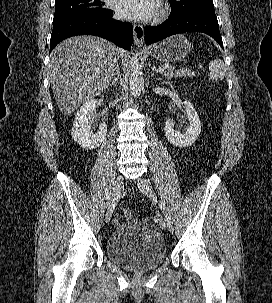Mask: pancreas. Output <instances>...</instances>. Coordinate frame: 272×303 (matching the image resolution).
<instances>
[{"label":"pancreas","instance_id":"obj_1","mask_svg":"<svg viewBox=\"0 0 272 303\" xmlns=\"http://www.w3.org/2000/svg\"><path fill=\"white\" fill-rule=\"evenodd\" d=\"M161 68L164 69V72L162 73L163 76L167 78H172L174 76H190L191 71L190 70H175V67L172 65H167V64H161Z\"/></svg>","mask_w":272,"mask_h":303}]
</instances>
